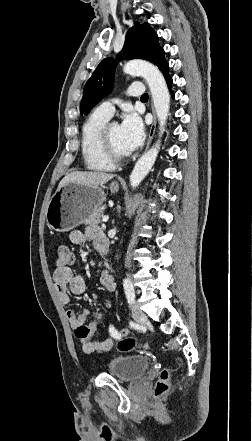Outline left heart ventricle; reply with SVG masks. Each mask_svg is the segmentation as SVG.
Listing matches in <instances>:
<instances>
[{
    "label": "left heart ventricle",
    "instance_id": "b2bd125f",
    "mask_svg": "<svg viewBox=\"0 0 252 441\" xmlns=\"http://www.w3.org/2000/svg\"><path fill=\"white\" fill-rule=\"evenodd\" d=\"M110 142L113 149L119 154H126L122 145H121V135H120V126L117 124H113L110 128Z\"/></svg>",
    "mask_w": 252,
    "mask_h": 441
}]
</instances>
